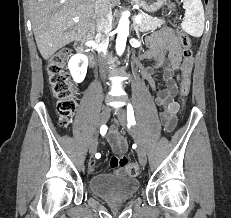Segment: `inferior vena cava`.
Instances as JSON below:
<instances>
[{"instance_id":"1","label":"inferior vena cava","mask_w":231,"mask_h":218,"mask_svg":"<svg viewBox=\"0 0 231 218\" xmlns=\"http://www.w3.org/2000/svg\"><path fill=\"white\" fill-rule=\"evenodd\" d=\"M96 41L101 50L98 53V61L101 71L107 68V48L109 44V33L112 29V9L110 0H96Z\"/></svg>"}]
</instances>
